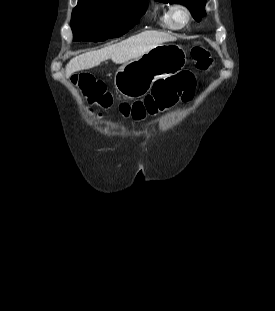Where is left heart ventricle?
I'll return each instance as SVG.
<instances>
[{
  "instance_id": "obj_1",
  "label": "left heart ventricle",
  "mask_w": 275,
  "mask_h": 311,
  "mask_svg": "<svg viewBox=\"0 0 275 311\" xmlns=\"http://www.w3.org/2000/svg\"><path fill=\"white\" fill-rule=\"evenodd\" d=\"M175 17L178 23H183L185 20V16L181 12H178Z\"/></svg>"
}]
</instances>
